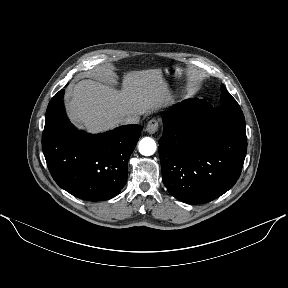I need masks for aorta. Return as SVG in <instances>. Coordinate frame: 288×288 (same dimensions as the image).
<instances>
[{
	"label": "aorta",
	"mask_w": 288,
	"mask_h": 288,
	"mask_svg": "<svg viewBox=\"0 0 288 288\" xmlns=\"http://www.w3.org/2000/svg\"><path fill=\"white\" fill-rule=\"evenodd\" d=\"M156 143L155 141L150 137L143 138L138 145V149L140 154L144 156H151L156 151Z\"/></svg>",
	"instance_id": "1"
}]
</instances>
